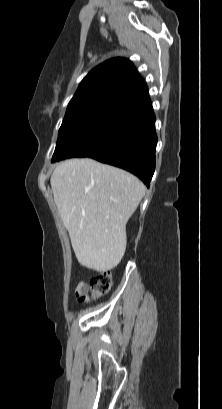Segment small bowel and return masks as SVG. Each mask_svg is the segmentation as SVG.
I'll return each mask as SVG.
<instances>
[{
  "instance_id": "obj_1",
  "label": "small bowel",
  "mask_w": 222,
  "mask_h": 409,
  "mask_svg": "<svg viewBox=\"0 0 222 409\" xmlns=\"http://www.w3.org/2000/svg\"><path fill=\"white\" fill-rule=\"evenodd\" d=\"M87 291H88V285L85 282L81 281L76 288V294H80L82 292H87Z\"/></svg>"
}]
</instances>
